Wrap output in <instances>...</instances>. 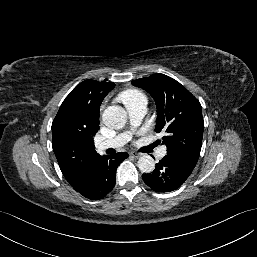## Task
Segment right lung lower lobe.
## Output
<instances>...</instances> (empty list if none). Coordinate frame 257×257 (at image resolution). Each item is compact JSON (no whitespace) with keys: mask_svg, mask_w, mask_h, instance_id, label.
Here are the masks:
<instances>
[{"mask_svg":"<svg viewBox=\"0 0 257 257\" xmlns=\"http://www.w3.org/2000/svg\"><path fill=\"white\" fill-rule=\"evenodd\" d=\"M127 157L128 154L124 152L110 156H100L97 158L86 180L75 190L91 200L103 198L113 189L117 167Z\"/></svg>","mask_w":257,"mask_h":257,"instance_id":"98d812e1","label":"right lung lower lobe"}]
</instances>
